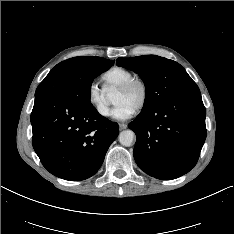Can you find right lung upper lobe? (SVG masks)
I'll return each mask as SVG.
<instances>
[{
  "instance_id": "1",
  "label": "right lung upper lobe",
  "mask_w": 234,
  "mask_h": 234,
  "mask_svg": "<svg viewBox=\"0 0 234 234\" xmlns=\"http://www.w3.org/2000/svg\"><path fill=\"white\" fill-rule=\"evenodd\" d=\"M84 58L92 62H107L111 63L112 65L114 64L113 60L104 59L102 57L85 56Z\"/></svg>"
}]
</instances>
